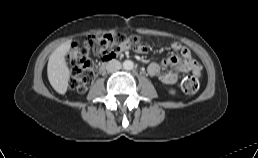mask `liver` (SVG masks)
I'll use <instances>...</instances> for the list:
<instances>
[{"label": "liver", "instance_id": "obj_1", "mask_svg": "<svg viewBox=\"0 0 258 158\" xmlns=\"http://www.w3.org/2000/svg\"><path fill=\"white\" fill-rule=\"evenodd\" d=\"M72 40H67L58 46L49 57L47 76L51 86L59 94H65L70 78V70L66 64L65 56L71 48Z\"/></svg>", "mask_w": 258, "mask_h": 158}]
</instances>
